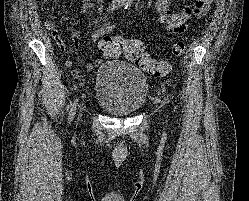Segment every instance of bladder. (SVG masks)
<instances>
[{"label": "bladder", "instance_id": "obj_1", "mask_svg": "<svg viewBox=\"0 0 249 201\" xmlns=\"http://www.w3.org/2000/svg\"><path fill=\"white\" fill-rule=\"evenodd\" d=\"M96 102L116 117L130 116L146 103V75L122 59L103 61L96 73Z\"/></svg>", "mask_w": 249, "mask_h": 201}]
</instances>
